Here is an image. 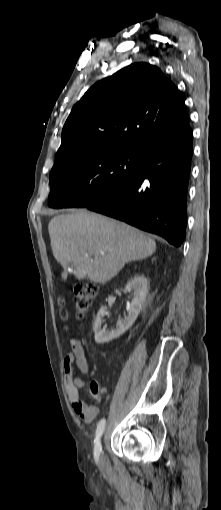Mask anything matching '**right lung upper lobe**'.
<instances>
[{"label": "right lung upper lobe", "mask_w": 221, "mask_h": 510, "mask_svg": "<svg viewBox=\"0 0 221 510\" xmlns=\"http://www.w3.org/2000/svg\"><path fill=\"white\" fill-rule=\"evenodd\" d=\"M190 129L175 85L147 63L131 64L93 85L74 105L55 164L105 147H136Z\"/></svg>", "instance_id": "cb5924a9"}]
</instances>
